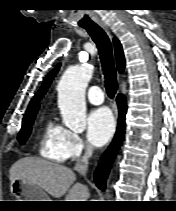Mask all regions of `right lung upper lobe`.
Listing matches in <instances>:
<instances>
[{"instance_id": "cb5924a9", "label": "right lung upper lobe", "mask_w": 176, "mask_h": 211, "mask_svg": "<svg viewBox=\"0 0 176 211\" xmlns=\"http://www.w3.org/2000/svg\"><path fill=\"white\" fill-rule=\"evenodd\" d=\"M114 42V47H115V55H116V61H117V68L118 71L120 73L123 72L124 67H125V59H124V55H123V51H122V46L120 44V42L114 38L113 39ZM60 65H58L57 67L54 68V70H52L45 78L39 92L35 95V97L31 100L28 109L25 113L24 116L33 114V113H37L38 109H39V104L38 102L43 98V96L45 95L46 91L48 90V87L51 83V81L53 80V78L55 77V75L57 74L58 70H59Z\"/></svg>"}]
</instances>
